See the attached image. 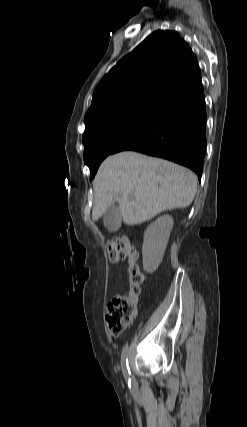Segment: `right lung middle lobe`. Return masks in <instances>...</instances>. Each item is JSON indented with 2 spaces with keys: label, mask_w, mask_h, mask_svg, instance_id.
I'll return each mask as SVG.
<instances>
[{
  "label": "right lung middle lobe",
  "mask_w": 247,
  "mask_h": 427,
  "mask_svg": "<svg viewBox=\"0 0 247 427\" xmlns=\"http://www.w3.org/2000/svg\"><path fill=\"white\" fill-rule=\"evenodd\" d=\"M157 106L128 107L103 116L86 127L83 134L84 162L92 180L100 163L135 133L154 113Z\"/></svg>",
  "instance_id": "obj_1"
}]
</instances>
